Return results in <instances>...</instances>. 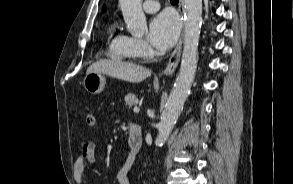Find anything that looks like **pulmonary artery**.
<instances>
[{"label": "pulmonary artery", "mask_w": 293, "mask_h": 184, "mask_svg": "<svg viewBox=\"0 0 293 184\" xmlns=\"http://www.w3.org/2000/svg\"><path fill=\"white\" fill-rule=\"evenodd\" d=\"M160 5L156 0H145L143 2V9L147 13H155L159 10Z\"/></svg>", "instance_id": "e3ab8cb5"}]
</instances>
